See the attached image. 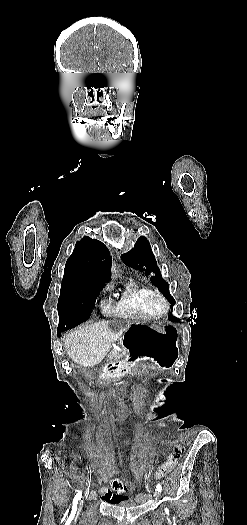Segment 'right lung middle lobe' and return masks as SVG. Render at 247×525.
<instances>
[{"label": "right lung middle lobe", "instance_id": "obj_1", "mask_svg": "<svg viewBox=\"0 0 247 525\" xmlns=\"http://www.w3.org/2000/svg\"><path fill=\"white\" fill-rule=\"evenodd\" d=\"M108 276L83 272H64L58 314L60 327H74L86 321Z\"/></svg>", "mask_w": 247, "mask_h": 525}]
</instances>
